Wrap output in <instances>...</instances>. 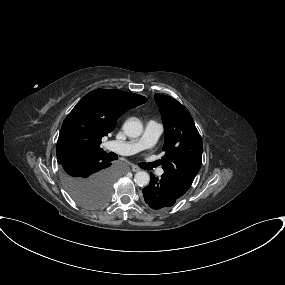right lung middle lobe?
<instances>
[{
    "mask_svg": "<svg viewBox=\"0 0 285 285\" xmlns=\"http://www.w3.org/2000/svg\"><path fill=\"white\" fill-rule=\"evenodd\" d=\"M61 177L67 192L83 207L98 208L110 198L114 178L85 180L67 174L62 168Z\"/></svg>",
    "mask_w": 285,
    "mask_h": 285,
    "instance_id": "1",
    "label": "right lung middle lobe"
}]
</instances>
